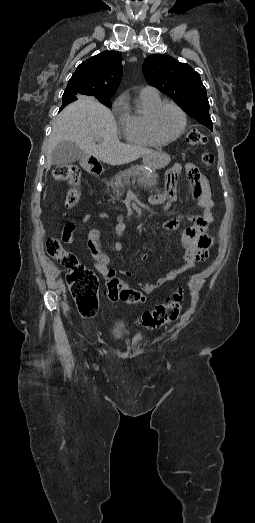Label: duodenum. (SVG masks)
<instances>
[{
  "mask_svg": "<svg viewBox=\"0 0 255 523\" xmlns=\"http://www.w3.org/2000/svg\"><path fill=\"white\" fill-rule=\"evenodd\" d=\"M82 167L86 172H88L94 176H99L104 171V167H103L101 161L92 155H87L83 159Z\"/></svg>",
  "mask_w": 255,
  "mask_h": 523,
  "instance_id": "1",
  "label": "duodenum"
}]
</instances>
